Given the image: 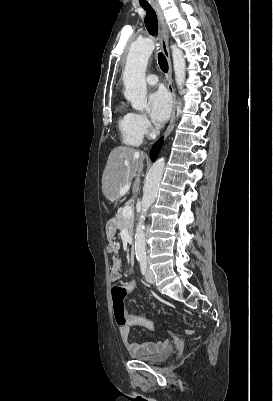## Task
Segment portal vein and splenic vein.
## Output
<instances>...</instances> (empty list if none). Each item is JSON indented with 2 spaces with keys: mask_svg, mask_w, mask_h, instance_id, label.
<instances>
[{
  "mask_svg": "<svg viewBox=\"0 0 273 401\" xmlns=\"http://www.w3.org/2000/svg\"><path fill=\"white\" fill-rule=\"evenodd\" d=\"M129 188H130V184H125V186H123L122 190H120L121 196H123V194H126L127 190H129ZM122 213H123L124 217H128V219H130V217H132V215H133L132 207H124Z\"/></svg>",
  "mask_w": 273,
  "mask_h": 401,
  "instance_id": "18ae733b",
  "label": "portal vein and splenic vein"
}]
</instances>
